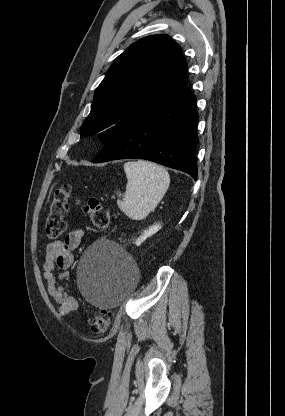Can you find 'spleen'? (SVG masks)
Wrapping results in <instances>:
<instances>
[{"instance_id": "spleen-1", "label": "spleen", "mask_w": 285, "mask_h": 416, "mask_svg": "<svg viewBox=\"0 0 285 416\" xmlns=\"http://www.w3.org/2000/svg\"><path fill=\"white\" fill-rule=\"evenodd\" d=\"M124 172L127 176L124 202L117 200V206L131 220H144L165 196L170 176L166 168L143 160L126 162Z\"/></svg>"}]
</instances>
